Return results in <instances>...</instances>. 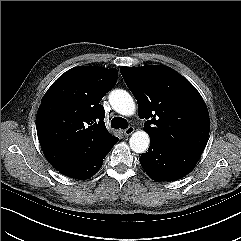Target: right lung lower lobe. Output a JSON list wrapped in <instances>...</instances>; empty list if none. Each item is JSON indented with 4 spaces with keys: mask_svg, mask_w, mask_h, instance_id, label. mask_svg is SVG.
Returning a JSON list of instances; mask_svg holds the SVG:
<instances>
[{
    "mask_svg": "<svg viewBox=\"0 0 241 241\" xmlns=\"http://www.w3.org/2000/svg\"><path fill=\"white\" fill-rule=\"evenodd\" d=\"M117 141L108 149L104 150L103 152H101L94 158L90 159L89 161L59 172L66 176L79 180H86L90 178L100 169L103 159L110 152L111 148L117 143Z\"/></svg>",
    "mask_w": 241,
    "mask_h": 241,
    "instance_id": "obj_1",
    "label": "right lung lower lobe"
}]
</instances>
